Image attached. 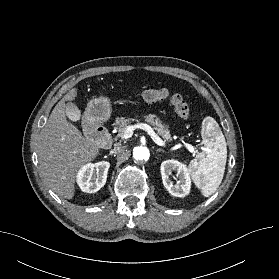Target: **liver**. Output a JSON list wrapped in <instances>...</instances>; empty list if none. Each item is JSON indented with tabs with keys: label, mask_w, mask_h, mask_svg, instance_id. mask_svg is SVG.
I'll list each match as a JSON object with an SVG mask.
<instances>
[{
	"label": "liver",
	"mask_w": 279,
	"mask_h": 279,
	"mask_svg": "<svg viewBox=\"0 0 279 279\" xmlns=\"http://www.w3.org/2000/svg\"><path fill=\"white\" fill-rule=\"evenodd\" d=\"M78 89H71L54 107L38 139V160L41 174L56 194L72 199L78 170L94 160L100 146L84 137L66 119L65 101L74 100ZM70 103V102H69Z\"/></svg>",
	"instance_id": "liver-1"
}]
</instances>
